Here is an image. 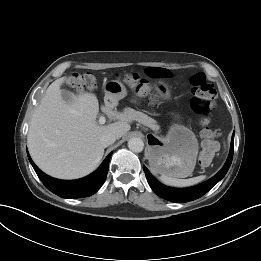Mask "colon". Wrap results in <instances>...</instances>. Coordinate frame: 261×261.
Instances as JSON below:
<instances>
[{
    "label": "colon",
    "mask_w": 261,
    "mask_h": 261,
    "mask_svg": "<svg viewBox=\"0 0 261 261\" xmlns=\"http://www.w3.org/2000/svg\"><path fill=\"white\" fill-rule=\"evenodd\" d=\"M124 81L130 86H137L142 91H147V85L137 76L129 74L124 77ZM95 85V78L91 74H75L69 80V86L73 90H83L92 88ZM191 86V108L200 117L202 126L201 136L203 138L199 159L202 163L212 160L218 150L216 138L220 132L216 128L210 127V115L216 110V90L208 82L204 73H196L190 78Z\"/></svg>",
    "instance_id": "colon-1"
}]
</instances>
